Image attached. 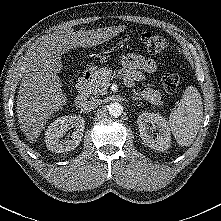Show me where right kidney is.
Masks as SVG:
<instances>
[{
	"label": "right kidney",
	"instance_id": "obj_1",
	"mask_svg": "<svg viewBox=\"0 0 221 221\" xmlns=\"http://www.w3.org/2000/svg\"><path fill=\"white\" fill-rule=\"evenodd\" d=\"M85 121L81 116H62L54 120L46 129L45 142L49 150L63 153L74 150L83 137ZM75 128L71 138L60 141L68 129Z\"/></svg>",
	"mask_w": 221,
	"mask_h": 221
}]
</instances>
